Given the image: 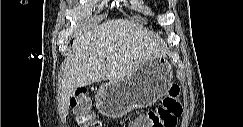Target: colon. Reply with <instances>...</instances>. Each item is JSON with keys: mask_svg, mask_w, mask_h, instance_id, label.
<instances>
[{"mask_svg": "<svg viewBox=\"0 0 243 127\" xmlns=\"http://www.w3.org/2000/svg\"><path fill=\"white\" fill-rule=\"evenodd\" d=\"M181 88L174 84L169 94L155 109H151L140 115L131 127H175L182 113L180 102ZM71 108L81 127H101L102 123L95 118L91 108L90 98L86 93L78 94L71 99Z\"/></svg>", "mask_w": 243, "mask_h": 127, "instance_id": "colon-1", "label": "colon"}]
</instances>
